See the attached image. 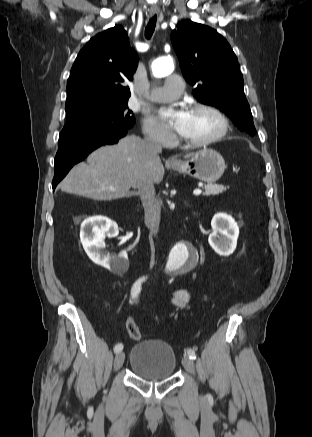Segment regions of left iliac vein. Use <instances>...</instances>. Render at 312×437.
<instances>
[{"mask_svg": "<svg viewBox=\"0 0 312 437\" xmlns=\"http://www.w3.org/2000/svg\"><path fill=\"white\" fill-rule=\"evenodd\" d=\"M182 364L184 366V368L186 369V371L192 375L195 374V366L193 361L189 358L188 355H184L183 359H182Z\"/></svg>", "mask_w": 312, "mask_h": 437, "instance_id": "4c4485c4", "label": "left iliac vein"}]
</instances>
